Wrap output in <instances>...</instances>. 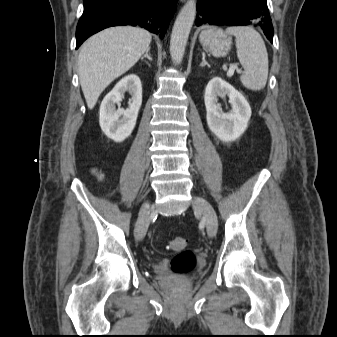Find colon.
Segmentation results:
<instances>
[{"label": "colon", "mask_w": 337, "mask_h": 337, "mask_svg": "<svg viewBox=\"0 0 337 337\" xmlns=\"http://www.w3.org/2000/svg\"><path fill=\"white\" fill-rule=\"evenodd\" d=\"M170 248L177 252L171 262V269L176 274L190 272L195 266V257L192 252L186 251V241L181 237H176L170 241Z\"/></svg>", "instance_id": "1"}]
</instances>
